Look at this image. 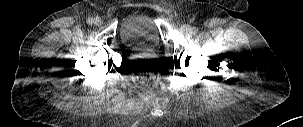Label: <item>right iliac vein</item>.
<instances>
[{
  "mask_svg": "<svg viewBox=\"0 0 303 127\" xmlns=\"http://www.w3.org/2000/svg\"><path fill=\"white\" fill-rule=\"evenodd\" d=\"M103 23L102 19L100 17H96L94 19V24L97 26H100Z\"/></svg>",
  "mask_w": 303,
  "mask_h": 127,
  "instance_id": "right-iliac-vein-1",
  "label": "right iliac vein"
}]
</instances>
